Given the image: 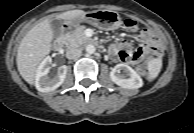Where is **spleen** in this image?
I'll list each match as a JSON object with an SVG mask.
<instances>
[{"label":"spleen","instance_id":"obj_1","mask_svg":"<svg viewBox=\"0 0 194 133\" xmlns=\"http://www.w3.org/2000/svg\"><path fill=\"white\" fill-rule=\"evenodd\" d=\"M161 67H162L161 58H154L149 61L148 63L149 80H154L158 76V74L160 73Z\"/></svg>","mask_w":194,"mask_h":133}]
</instances>
